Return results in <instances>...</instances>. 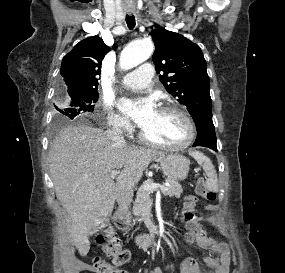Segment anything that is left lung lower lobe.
<instances>
[{"mask_svg":"<svg viewBox=\"0 0 285 273\" xmlns=\"http://www.w3.org/2000/svg\"><path fill=\"white\" fill-rule=\"evenodd\" d=\"M194 122L197 127V138L193 146H204L212 150H217L212 115L200 116L194 119Z\"/></svg>","mask_w":285,"mask_h":273,"instance_id":"1","label":"left lung lower lobe"}]
</instances>
